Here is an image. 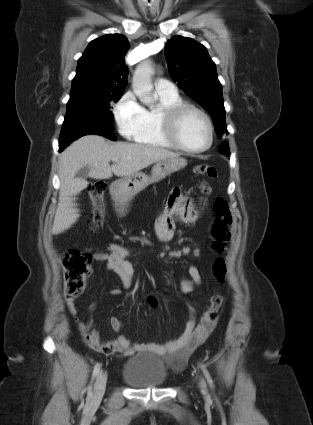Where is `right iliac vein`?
<instances>
[{"instance_id":"1","label":"right iliac vein","mask_w":313,"mask_h":425,"mask_svg":"<svg viewBox=\"0 0 313 425\" xmlns=\"http://www.w3.org/2000/svg\"><path fill=\"white\" fill-rule=\"evenodd\" d=\"M107 383V373L101 372L95 382L94 392L91 398V405H96L99 403L104 395L105 387Z\"/></svg>"}]
</instances>
